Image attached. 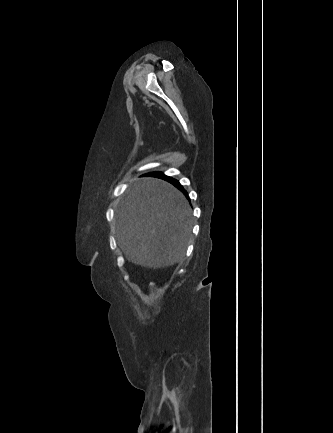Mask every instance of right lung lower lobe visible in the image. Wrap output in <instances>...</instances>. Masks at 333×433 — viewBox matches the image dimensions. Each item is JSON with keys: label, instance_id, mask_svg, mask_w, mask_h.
Segmentation results:
<instances>
[{"label": "right lung lower lobe", "instance_id": "98d812e1", "mask_svg": "<svg viewBox=\"0 0 333 433\" xmlns=\"http://www.w3.org/2000/svg\"><path fill=\"white\" fill-rule=\"evenodd\" d=\"M147 175L162 178V179L170 182L171 184H173L175 187H177L179 190H181L184 194L187 195V192L185 191V189L181 186V184L177 180H175L171 177H168V176L164 175L163 173H159V172L150 173Z\"/></svg>", "mask_w": 333, "mask_h": 433}]
</instances>
